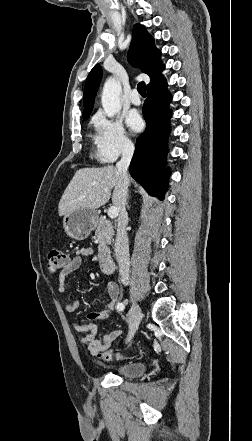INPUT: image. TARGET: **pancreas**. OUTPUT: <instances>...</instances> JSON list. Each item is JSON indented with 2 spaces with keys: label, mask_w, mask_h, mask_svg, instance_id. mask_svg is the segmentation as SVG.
<instances>
[{
  "label": "pancreas",
  "mask_w": 252,
  "mask_h": 441,
  "mask_svg": "<svg viewBox=\"0 0 252 441\" xmlns=\"http://www.w3.org/2000/svg\"><path fill=\"white\" fill-rule=\"evenodd\" d=\"M95 236L99 242L98 259L103 262L106 258H110V245L114 236L112 223L104 216H101L96 224Z\"/></svg>",
  "instance_id": "1"
}]
</instances>
